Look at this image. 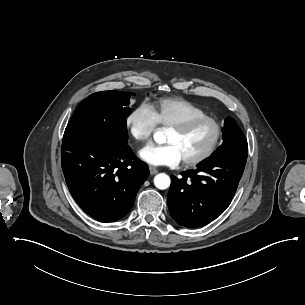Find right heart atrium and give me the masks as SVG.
I'll return each instance as SVG.
<instances>
[{
    "label": "right heart atrium",
    "mask_w": 305,
    "mask_h": 305,
    "mask_svg": "<svg viewBox=\"0 0 305 305\" xmlns=\"http://www.w3.org/2000/svg\"><path fill=\"white\" fill-rule=\"evenodd\" d=\"M157 120L149 105H137L125 118L126 129L137 142L148 141L157 126Z\"/></svg>",
    "instance_id": "obj_1"
}]
</instances>
